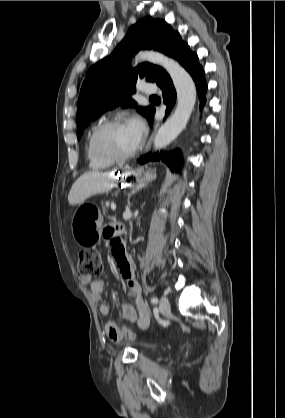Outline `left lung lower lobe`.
Masks as SVG:
<instances>
[{
    "mask_svg": "<svg viewBox=\"0 0 285 418\" xmlns=\"http://www.w3.org/2000/svg\"><path fill=\"white\" fill-rule=\"evenodd\" d=\"M171 57L176 59L192 76L196 84L198 96L201 101L200 106L203 107L205 104V94L207 90V84L205 81L204 71L201 65L199 64L197 54H195L194 52L190 50L187 43L183 42L182 40H179L178 42H176V44L174 45L172 49ZM156 83L162 89L164 103L167 105V109L165 112L167 116L169 115V113L171 112L175 104L176 91H175V88L173 86L170 76L167 74L165 70L160 74ZM153 116L149 121L151 124L153 123ZM157 160L164 161L173 171L175 170L179 171L180 166H181V154L179 150H175L169 153H164V152H160V153L156 152L154 154L149 153L146 156L141 157L138 160V162L143 164L148 161H157Z\"/></svg>",
    "mask_w": 285,
    "mask_h": 418,
    "instance_id": "0a47b994",
    "label": "left lung lower lobe"
}]
</instances>
